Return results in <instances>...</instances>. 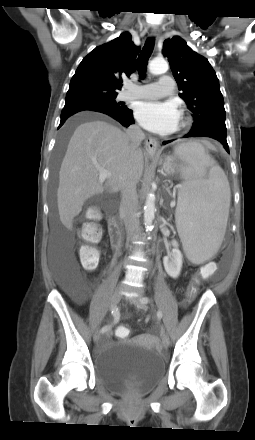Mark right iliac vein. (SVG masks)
<instances>
[{
    "label": "right iliac vein",
    "instance_id": "63e3f726",
    "mask_svg": "<svg viewBox=\"0 0 255 440\" xmlns=\"http://www.w3.org/2000/svg\"><path fill=\"white\" fill-rule=\"evenodd\" d=\"M120 299H121V292H120V290H116L110 298L109 308L112 309V308L116 307V305L119 303ZM99 338H100V332L97 331V332H95L93 339L97 343Z\"/></svg>",
    "mask_w": 255,
    "mask_h": 440
}]
</instances>
